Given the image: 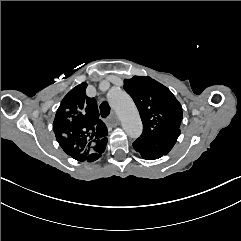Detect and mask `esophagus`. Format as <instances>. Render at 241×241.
Masks as SVG:
<instances>
[{
    "label": "esophagus",
    "mask_w": 241,
    "mask_h": 241,
    "mask_svg": "<svg viewBox=\"0 0 241 241\" xmlns=\"http://www.w3.org/2000/svg\"><path fill=\"white\" fill-rule=\"evenodd\" d=\"M109 119H111V125H112V127H113L116 123H118V118H117V116H116V114H115L114 112L111 114V116H110Z\"/></svg>",
    "instance_id": "obj_1"
}]
</instances>
